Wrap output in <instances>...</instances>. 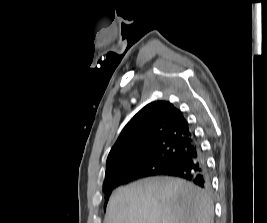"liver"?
I'll return each instance as SVG.
<instances>
[{
  "mask_svg": "<svg viewBox=\"0 0 267 223\" xmlns=\"http://www.w3.org/2000/svg\"><path fill=\"white\" fill-rule=\"evenodd\" d=\"M214 207L199 187L178 178L153 177L118 188L104 223H213Z\"/></svg>",
  "mask_w": 267,
  "mask_h": 223,
  "instance_id": "1",
  "label": "liver"
}]
</instances>
